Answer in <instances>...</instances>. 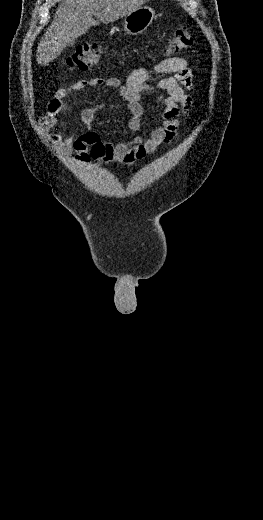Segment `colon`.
<instances>
[{
  "label": "colon",
  "mask_w": 263,
  "mask_h": 520,
  "mask_svg": "<svg viewBox=\"0 0 263 520\" xmlns=\"http://www.w3.org/2000/svg\"><path fill=\"white\" fill-rule=\"evenodd\" d=\"M192 45V32L187 26H182L172 34L167 51L169 53H179ZM100 53V45L95 43L83 44L70 53L66 62L70 68L85 71L98 62Z\"/></svg>",
  "instance_id": "obj_1"
}]
</instances>
